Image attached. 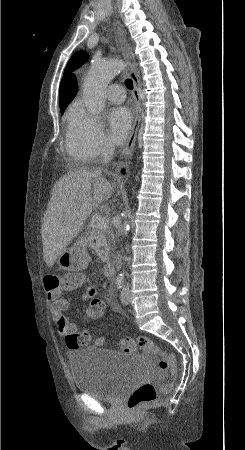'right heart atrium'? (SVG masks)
<instances>
[{"instance_id": "right-heart-atrium-1", "label": "right heart atrium", "mask_w": 245, "mask_h": 450, "mask_svg": "<svg viewBox=\"0 0 245 450\" xmlns=\"http://www.w3.org/2000/svg\"><path fill=\"white\" fill-rule=\"evenodd\" d=\"M66 150L84 161L93 160L112 150L99 120L80 104L69 112Z\"/></svg>"}]
</instances>
